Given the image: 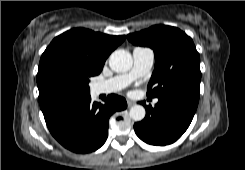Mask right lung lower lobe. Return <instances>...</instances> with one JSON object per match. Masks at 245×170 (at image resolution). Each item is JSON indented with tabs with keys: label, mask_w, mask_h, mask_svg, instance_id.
Wrapping results in <instances>:
<instances>
[{
	"label": "right lung lower lobe",
	"mask_w": 245,
	"mask_h": 170,
	"mask_svg": "<svg viewBox=\"0 0 245 170\" xmlns=\"http://www.w3.org/2000/svg\"><path fill=\"white\" fill-rule=\"evenodd\" d=\"M126 107L123 97L111 94L101 104L91 102L89 94L55 107L44 114V118L61 145L75 153H88L106 141L110 116Z\"/></svg>",
	"instance_id": "right-lung-lower-lobe-1"
}]
</instances>
